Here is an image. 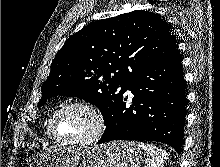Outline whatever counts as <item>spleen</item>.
Instances as JSON below:
<instances>
[{
	"label": "spleen",
	"instance_id": "3e777b00",
	"mask_svg": "<svg viewBox=\"0 0 220 167\" xmlns=\"http://www.w3.org/2000/svg\"><path fill=\"white\" fill-rule=\"evenodd\" d=\"M138 146L147 153L145 167H164L168 154L162 148L144 142H138Z\"/></svg>",
	"mask_w": 220,
	"mask_h": 167
}]
</instances>
